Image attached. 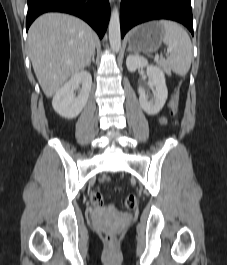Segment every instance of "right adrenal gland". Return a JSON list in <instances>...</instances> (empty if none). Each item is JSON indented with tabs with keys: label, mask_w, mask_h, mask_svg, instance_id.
I'll use <instances>...</instances> for the list:
<instances>
[{
	"label": "right adrenal gland",
	"mask_w": 227,
	"mask_h": 265,
	"mask_svg": "<svg viewBox=\"0 0 227 265\" xmlns=\"http://www.w3.org/2000/svg\"><path fill=\"white\" fill-rule=\"evenodd\" d=\"M91 62H95V53H93L91 61L87 64V67L91 65Z\"/></svg>",
	"instance_id": "2a0ac1e0"
}]
</instances>
